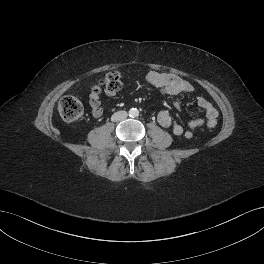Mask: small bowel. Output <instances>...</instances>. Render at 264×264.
Masks as SVG:
<instances>
[{
  "label": "small bowel",
  "instance_id": "small-bowel-1",
  "mask_svg": "<svg viewBox=\"0 0 264 264\" xmlns=\"http://www.w3.org/2000/svg\"><path fill=\"white\" fill-rule=\"evenodd\" d=\"M145 81L148 85L156 87L162 93L170 96H180L185 93H193L195 90L193 85H191L189 82L171 73H159L156 71H151L147 74ZM108 94L113 93L108 92ZM196 102L201 111L205 114L206 119H217L218 111L211 102L202 96H197ZM89 104L93 117L100 118L103 115V108L101 106V100L98 94H90ZM174 105L178 109L182 108V103L180 101H174ZM158 122L162 127L170 129L176 136L191 138L195 132L205 123V119H192L188 122L187 128H184L181 124L173 119L172 115L168 111L163 110L158 114Z\"/></svg>",
  "mask_w": 264,
  "mask_h": 264
}]
</instances>
